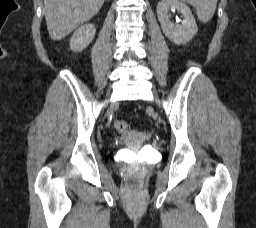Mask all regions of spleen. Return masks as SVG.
I'll return each mask as SVG.
<instances>
[{
	"label": "spleen",
	"instance_id": "3e777b00",
	"mask_svg": "<svg viewBox=\"0 0 256 228\" xmlns=\"http://www.w3.org/2000/svg\"><path fill=\"white\" fill-rule=\"evenodd\" d=\"M194 6L202 23L210 21L215 13L217 0H183Z\"/></svg>",
	"mask_w": 256,
	"mask_h": 228
}]
</instances>
